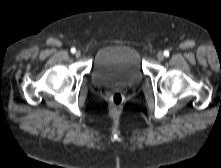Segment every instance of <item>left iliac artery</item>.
I'll use <instances>...</instances> for the list:
<instances>
[{"label": "left iliac artery", "instance_id": "obj_1", "mask_svg": "<svg viewBox=\"0 0 221 168\" xmlns=\"http://www.w3.org/2000/svg\"><path fill=\"white\" fill-rule=\"evenodd\" d=\"M164 55H165L166 57H168V56H169V51H168V50H165V51H164Z\"/></svg>", "mask_w": 221, "mask_h": 168}]
</instances>
